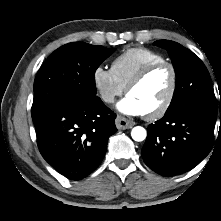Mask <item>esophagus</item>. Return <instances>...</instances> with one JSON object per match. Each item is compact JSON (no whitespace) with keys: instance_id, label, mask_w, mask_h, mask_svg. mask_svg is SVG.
I'll return each mask as SVG.
<instances>
[{"instance_id":"34e87169","label":"esophagus","mask_w":221,"mask_h":221,"mask_svg":"<svg viewBox=\"0 0 221 221\" xmlns=\"http://www.w3.org/2000/svg\"><path fill=\"white\" fill-rule=\"evenodd\" d=\"M115 123L117 128L122 130L132 128L135 125L133 121H130L122 116H117Z\"/></svg>"}]
</instances>
